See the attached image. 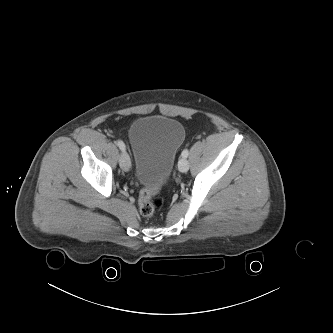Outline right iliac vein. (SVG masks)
I'll return each instance as SVG.
<instances>
[{
    "mask_svg": "<svg viewBox=\"0 0 333 333\" xmlns=\"http://www.w3.org/2000/svg\"><path fill=\"white\" fill-rule=\"evenodd\" d=\"M119 164L120 167L124 170V171H129L130 170V166H131V161H130V157L127 154V152H122L119 156Z\"/></svg>",
    "mask_w": 333,
    "mask_h": 333,
    "instance_id": "63e3f726",
    "label": "right iliac vein"
}]
</instances>
